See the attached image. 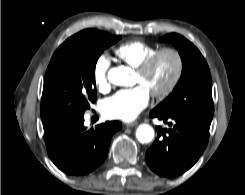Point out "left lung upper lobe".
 <instances>
[{
	"instance_id": "5c2ea615",
	"label": "left lung upper lobe",
	"mask_w": 245,
	"mask_h": 195,
	"mask_svg": "<svg viewBox=\"0 0 245 195\" xmlns=\"http://www.w3.org/2000/svg\"><path fill=\"white\" fill-rule=\"evenodd\" d=\"M161 42L172 43L179 51L183 70L172 93L154 110L213 115L212 80L206 60L200 51L183 36L171 33Z\"/></svg>"
}]
</instances>
